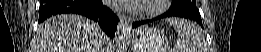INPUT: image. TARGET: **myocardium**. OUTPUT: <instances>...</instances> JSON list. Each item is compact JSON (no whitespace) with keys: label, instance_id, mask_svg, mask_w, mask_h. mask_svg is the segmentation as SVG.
Masks as SVG:
<instances>
[{"label":"myocardium","instance_id":"obj_1","mask_svg":"<svg viewBox=\"0 0 261 52\" xmlns=\"http://www.w3.org/2000/svg\"><path fill=\"white\" fill-rule=\"evenodd\" d=\"M167 3L168 0L147 1L131 11L140 17H155L162 14L166 10Z\"/></svg>","mask_w":261,"mask_h":52}]
</instances>
